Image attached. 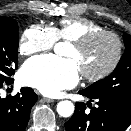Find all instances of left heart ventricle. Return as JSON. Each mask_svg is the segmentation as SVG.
<instances>
[{
    "label": "left heart ventricle",
    "instance_id": "1",
    "mask_svg": "<svg viewBox=\"0 0 131 131\" xmlns=\"http://www.w3.org/2000/svg\"><path fill=\"white\" fill-rule=\"evenodd\" d=\"M114 52V41L108 37H100L84 48L70 45L66 56L76 62L81 72L95 74L102 71L110 63Z\"/></svg>",
    "mask_w": 131,
    "mask_h": 131
}]
</instances>
